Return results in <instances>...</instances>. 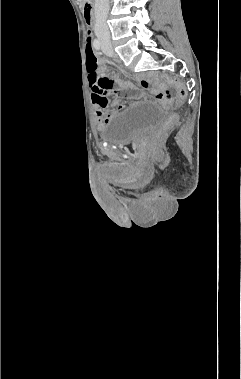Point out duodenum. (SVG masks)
I'll return each mask as SVG.
<instances>
[{"label":"duodenum","instance_id":"duodenum-1","mask_svg":"<svg viewBox=\"0 0 241 379\" xmlns=\"http://www.w3.org/2000/svg\"><path fill=\"white\" fill-rule=\"evenodd\" d=\"M84 16L88 23L93 22L94 20L93 5H92V2L90 1H86L84 3Z\"/></svg>","mask_w":241,"mask_h":379}]
</instances>
